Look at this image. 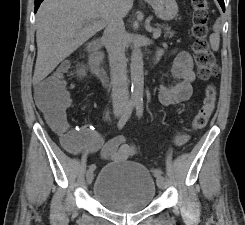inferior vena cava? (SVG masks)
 Returning a JSON list of instances; mask_svg holds the SVG:
<instances>
[{
    "instance_id": "inferior-vena-cava-1",
    "label": "inferior vena cava",
    "mask_w": 245,
    "mask_h": 225,
    "mask_svg": "<svg viewBox=\"0 0 245 225\" xmlns=\"http://www.w3.org/2000/svg\"><path fill=\"white\" fill-rule=\"evenodd\" d=\"M103 41L109 55L111 68L112 100L114 110L127 106L129 102L126 57L125 27L123 17L112 13L106 23Z\"/></svg>"
}]
</instances>
